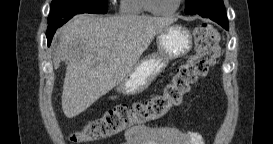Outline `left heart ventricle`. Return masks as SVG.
<instances>
[{
	"label": "left heart ventricle",
	"instance_id": "1",
	"mask_svg": "<svg viewBox=\"0 0 273 144\" xmlns=\"http://www.w3.org/2000/svg\"><path fill=\"white\" fill-rule=\"evenodd\" d=\"M177 0H156L154 5L159 10H169L176 5Z\"/></svg>",
	"mask_w": 273,
	"mask_h": 144
}]
</instances>
